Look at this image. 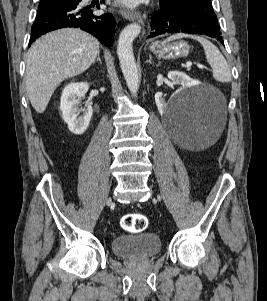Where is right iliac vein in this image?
Wrapping results in <instances>:
<instances>
[{"mask_svg": "<svg viewBox=\"0 0 267 301\" xmlns=\"http://www.w3.org/2000/svg\"><path fill=\"white\" fill-rule=\"evenodd\" d=\"M111 203V199H109L108 201H107V204H110Z\"/></svg>", "mask_w": 267, "mask_h": 301, "instance_id": "obj_1", "label": "right iliac vein"}]
</instances>
